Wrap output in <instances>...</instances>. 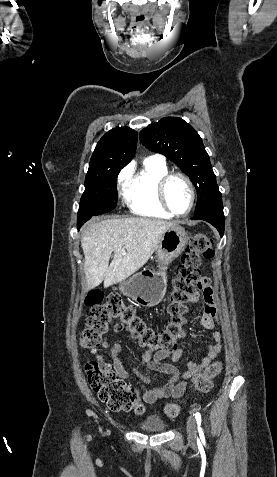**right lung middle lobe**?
<instances>
[{"label": "right lung middle lobe", "instance_id": "right-lung-middle-lobe-1", "mask_svg": "<svg viewBox=\"0 0 277 477\" xmlns=\"http://www.w3.org/2000/svg\"><path fill=\"white\" fill-rule=\"evenodd\" d=\"M122 168L114 167L87 173L77 217L78 229L92 216L109 212L116 207L117 176Z\"/></svg>", "mask_w": 277, "mask_h": 477}]
</instances>
